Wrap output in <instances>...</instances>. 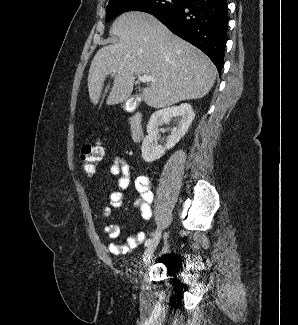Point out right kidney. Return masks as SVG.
Listing matches in <instances>:
<instances>
[{"instance_id":"ca27d5eb","label":"right kidney","mask_w":298,"mask_h":325,"mask_svg":"<svg viewBox=\"0 0 298 325\" xmlns=\"http://www.w3.org/2000/svg\"><path fill=\"white\" fill-rule=\"evenodd\" d=\"M173 116H178L179 118L177 126L172 128L166 144L159 146L157 142L159 126L164 124V122H170ZM194 116V110L188 102H182L179 106H168V108H161V110L153 112L146 128L148 134L143 138L141 146L142 158L146 160V163H152V160L161 158L165 154V150L173 148L179 142L180 138L184 136L185 132H187Z\"/></svg>"}]
</instances>
